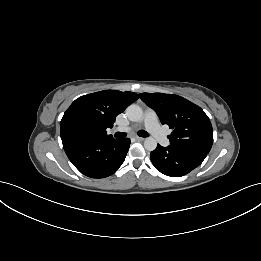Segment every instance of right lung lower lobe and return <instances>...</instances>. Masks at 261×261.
I'll return each mask as SVG.
<instances>
[{"mask_svg": "<svg viewBox=\"0 0 261 261\" xmlns=\"http://www.w3.org/2000/svg\"><path fill=\"white\" fill-rule=\"evenodd\" d=\"M73 165L91 178H105L115 173L125 160L130 139L87 138L62 140Z\"/></svg>", "mask_w": 261, "mask_h": 261, "instance_id": "98d812e1", "label": "right lung lower lobe"}]
</instances>
